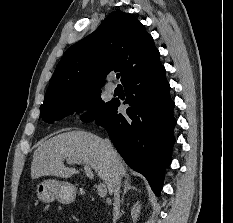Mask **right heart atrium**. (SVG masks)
<instances>
[{"label":"right heart atrium","instance_id":"right-heart-atrium-1","mask_svg":"<svg viewBox=\"0 0 233 223\" xmlns=\"http://www.w3.org/2000/svg\"><path fill=\"white\" fill-rule=\"evenodd\" d=\"M91 113V105L87 102L80 103L73 111L72 119L76 123L87 120Z\"/></svg>","mask_w":233,"mask_h":223}]
</instances>
